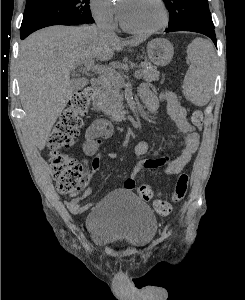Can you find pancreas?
I'll list each match as a JSON object with an SVG mask.
<instances>
[{"instance_id":"1","label":"pancreas","mask_w":245,"mask_h":300,"mask_svg":"<svg viewBox=\"0 0 245 300\" xmlns=\"http://www.w3.org/2000/svg\"><path fill=\"white\" fill-rule=\"evenodd\" d=\"M140 68V77L146 82H152L159 78L157 68L150 62H142ZM124 78L125 75L123 73L113 69L102 76L105 84V91L101 94L99 102L102 110L110 116L111 119L116 121L123 119L125 114L122 104L123 95L121 94Z\"/></svg>"}]
</instances>
